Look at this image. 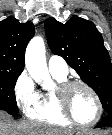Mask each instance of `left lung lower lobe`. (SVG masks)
<instances>
[{"label":"left lung lower lobe","mask_w":112,"mask_h":135,"mask_svg":"<svg viewBox=\"0 0 112 135\" xmlns=\"http://www.w3.org/2000/svg\"><path fill=\"white\" fill-rule=\"evenodd\" d=\"M112 127V113L107 114L106 117L96 125V128H101V127Z\"/></svg>","instance_id":"0a47b994"}]
</instances>
